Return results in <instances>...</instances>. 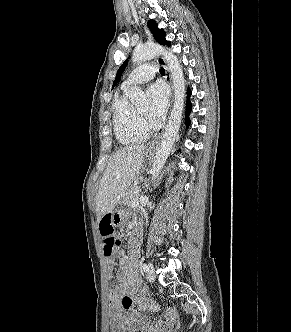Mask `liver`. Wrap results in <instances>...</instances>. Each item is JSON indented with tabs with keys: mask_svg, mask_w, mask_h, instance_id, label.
Here are the masks:
<instances>
[{
	"mask_svg": "<svg viewBox=\"0 0 291 332\" xmlns=\"http://www.w3.org/2000/svg\"><path fill=\"white\" fill-rule=\"evenodd\" d=\"M147 147L131 145L119 149L109 161L96 195L97 221L112 213L123 193L137 178Z\"/></svg>",
	"mask_w": 291,
	"mask_h": 332,
	"instance_id": "obj_1",
	"label": "liver"
}]
</instances>
